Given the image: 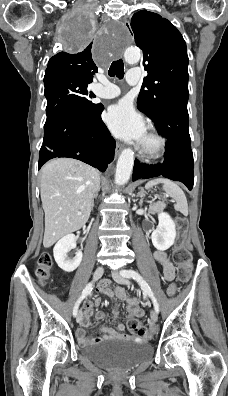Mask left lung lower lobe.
Segmentation results:
<instances>
[{"mask_svg": "<svg viewBox=\"0 0 228 396\" xmlns=\"http://www.w3.org/2000/svg\"><path fill=\"white\" fill-rule=\"evenodd\" d=\"M187 102L188 100H180L170 103L158 112L155 127L168 141L165 160L157 165H146L135 160L133 181L162 175L180 181L192 190L193 154L188 131Z\"/></svg>", "mask_w": 228, "mask_h": 396, "instance_id": "0a47b994", "label": "left lung lower lobe"}]
</instances>
